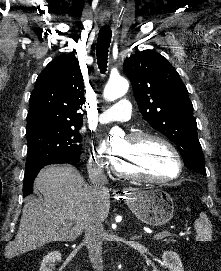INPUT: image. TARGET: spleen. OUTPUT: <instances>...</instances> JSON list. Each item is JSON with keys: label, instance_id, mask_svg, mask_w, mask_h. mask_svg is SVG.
Returning <instances> with one entry per match:
<instances>
[{"label": "spleen", "instance_id": "3e777b00", "mask_svg": "<svg viewBox=\"0 0 221 271\" xmlns=\"http://www.w3.org/2000/svg\"><path fill=\"white\" fill-rule=\"evenodd\" d=\"M194 227L197 233L196 241H211L212 223L204 211H201L198 219H195Z\"/></svg>", "mask_w": 221, "mask_h": 271}]
</instances>
